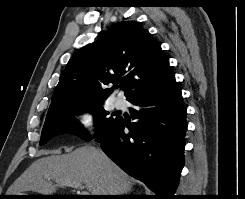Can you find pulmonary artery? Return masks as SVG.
<instances>
[{
    "label": "pulmonary artery",
    "mask_w": 245,
    "mask_h": 199,
    "mask_svg": "<svg viewBox=\"0 0 245 199\" xmlns=\"http://www.w3.org/2000/svg\"><path fill=\"white\" fill-rule=\"evenodd\" d=\"M113 106L116 108V109H122L124 106H125V103H124V100L120 97H116L114 100H113Z\"/></svg>",
    "instance_id": "e3ab8cb5"
}]
</instances>
